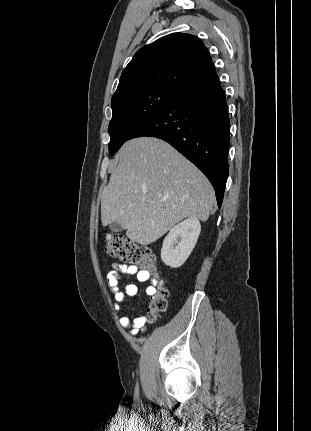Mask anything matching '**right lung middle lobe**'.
<instances>
[{
	"label": "right lung middle lobe",
	"mask_w": 311,
	"mask_h": 431,
	"mask_svg": "<svg viewBox=\"0 0 311 431\" xmlns=\"http://www.w3.org/2000/svg\"><path fill=\"white\" fill-rule=\"evenodd\" d=\"M178 96L177 93L159 89H140L113 97L111 100L113 115L109 123L110 155L129 140L135 129Z\"/></svg>",
	"instance_id": "1"
}]
</instances>
